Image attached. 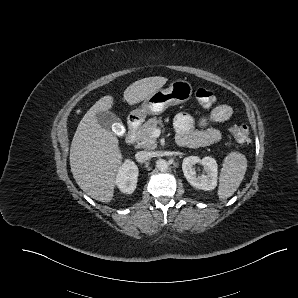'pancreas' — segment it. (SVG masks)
<instances>
[{
  "label": "pancreas",
  "instance_id": "obj_1",
  "mask_svg": "<svg viewBox=\"0 0 298 298\" xmlns=\"http://www.w3.org/2000/svg\"><path fill=\"white\" fill-rule=\"evenodd\" d=\"M162 126V116L152 117L139 127L136 132V144L139 148L155 149L158 141L152 137L151 132L155 127Z\"/></svg>",
  "mask_w": 298,
  "mask_h": 298
}]
</instances>
